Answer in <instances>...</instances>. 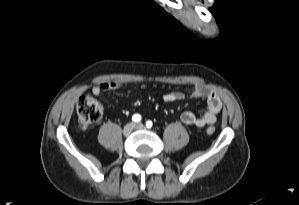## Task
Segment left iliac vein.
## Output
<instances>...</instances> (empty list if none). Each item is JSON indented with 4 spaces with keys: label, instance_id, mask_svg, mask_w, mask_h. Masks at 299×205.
Returning <instances> with one entry per match:
<instances>
[{
    "label": "left iliac vein",
    "instance_id": "obj_1",
    "mask_svg": "<svg viewBox=\"0 0 299 205\" xmlns=\"http://www.w3.org/2000/svg\"><path fill=\"white\" fill-rule=\"evenodd\" d=\"M143 127H144V125L142 123L135 124L136 129H142Z\"/></svg>",
    "mask_w": 299,
    "mask_h": 205
}]
</instances>
